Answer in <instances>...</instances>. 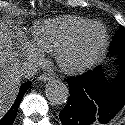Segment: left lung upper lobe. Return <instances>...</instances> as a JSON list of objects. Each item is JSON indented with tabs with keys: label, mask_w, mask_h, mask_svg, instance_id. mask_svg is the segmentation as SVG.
<instances>
[{
	"label": "left lung upper lobe",
	"mask_w": 125,
	"mask_h": 125,
	"mask_svg": "<svg viewBox=\"0 0 125 125\" xmlns=\"http://www.w3.org/2000/svg\"><path fill=\"white\" fill-rule=\"evenodd\" d=\"M113 43H116V46L113 48H110L112 53L120 54L125 53V28L121 27L116 35L113 38ZM114 44H111L113 46Z\"/></svg>",
	"instance_id": "5c2ea615"
}]
</instances>
